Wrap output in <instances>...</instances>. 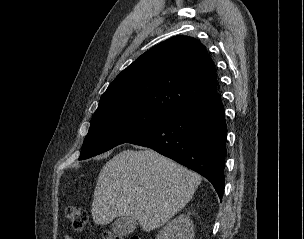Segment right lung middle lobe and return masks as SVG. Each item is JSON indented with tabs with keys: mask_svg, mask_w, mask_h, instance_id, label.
I'll return each mask as SVG.
<instances>
[{
	"mask_svg": "<svg viewBox=\"0 0 304 239\" xmlns=\"http://www.w3.org/2000/svg\"><path fill=\"white\" fill-rule=\"evenodd\" d=\"M170 115L148 108H121L94 115L79 160L106 152L150 131Z\"/></svg>",
	"mask_w": 304,
	"mask_h": 239,
	"instance_id": "obj_1",
	"label": "right lung middle lobe"
}]
</instances>
